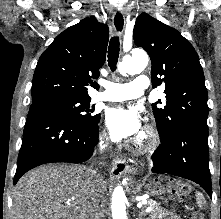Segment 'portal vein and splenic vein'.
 I'll use <instances>...</instances> for the list:
<instances>
[{"instance_id": "1", "label": "portal vein and splenic vein", "mask_w": 221, "mask_h": 219, "mask_svg": "<svg viewBox=\"0 0 221 219\" xmlns=\"http://www.w3.org/2000/svg\"><path fill=\"white\" fill-rule=\"evenodd\" d=\"M138 206L141 207L142 203L140 205H138ZM151 210H152V207H148L144 211L147 213V212H150Z\"/></svg>"}]
</instances>
